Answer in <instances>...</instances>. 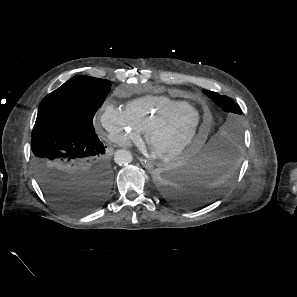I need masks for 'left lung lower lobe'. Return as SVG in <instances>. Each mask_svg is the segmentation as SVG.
Listing matches in <instances>:
<instances>
[{"label": "left lung lower lobe", "instance_id": "0a47b994", "mask_svg": "<svg viewBox=\"0 0 297 297\" xmlns=\"http://www.w3.org/2000/svg\"><path fill=\"white\" fill-rule=\"evenodd\" d=\"M237 148L211 139L155 174L161 195L174 205L195 208L219 198L232 183Z\"/></svg>", "mask_w": 297, "mask_h": 297}]
</instances>
